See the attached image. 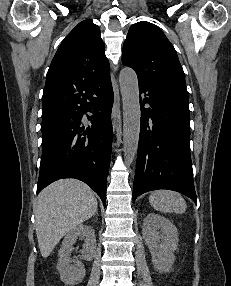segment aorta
I'll return each mask as SVG.
<instances>
[{
    "mask_svg": "<svg viewBox=\"0 0 231 286\" xmlns=\"http://www.w3.org/2000/svg\"><path fill=\"white\" fill-rule=\"evenodd\" d=\"M119 83L123 102V151L126 164L130 165L137 154L141 121L135 71L129 67L123 68L119 74Z\"/></svg>",
    "mask_w": 231,
    "mask_h": 286,
    "instance_id": "1",
    "label": "aorta"
}]
</instances>
